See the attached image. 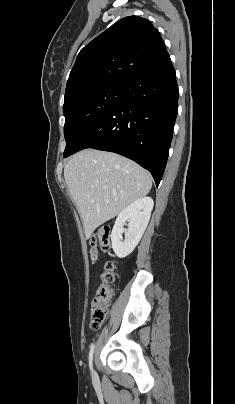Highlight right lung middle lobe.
Segmentation results:
<instances>
[{"label": "right lung middle lobe", "mask_w": 235, "mask_h": 404, "mask_svg": "<svg viewBox=\"0 0 235 404\" xmlns=\"http://www.w3.org/2000/svg\"><path fill=\"white\" fill-rule=\"evenodd\" d=\"M123 89V83L103 84L83 91L64 103V157L74 151L89 129L119 103Z\"/></svg>", "instance_id": "right-lung-middle-lobe-1"}]
</instances>
